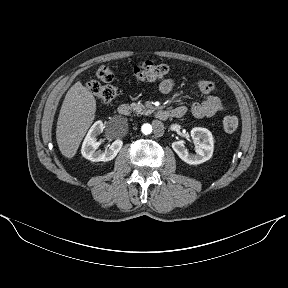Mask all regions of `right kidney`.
I'll return each mask as SVG.
<instances>
[{"label": "right kidney", "instance_id": "ca27d5eb", "mask_svg": "<svg viewBox=\"0 0 288 288\" xmlns=\"http://www.w3.org/2000/svg\"><path fill=\"white\" fill-rule=\"evenodd\" d=\"M104 128L102 121H96L92 125L81 148V153L84 158L93 162H107L114 159L121 150L123 141L120 139L115 140L105 151L97 150L99 143L97 142L96 137L103 132Z\"/></svg>", "mask_w": 288, "mask_h": 288}]
</instances>
